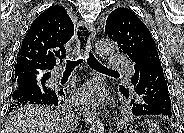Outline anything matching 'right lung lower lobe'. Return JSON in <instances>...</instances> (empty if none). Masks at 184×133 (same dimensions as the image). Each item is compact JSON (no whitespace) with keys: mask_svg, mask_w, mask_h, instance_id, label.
I'll list each match as a JSON object with an SVG mask.
<instances>
[{"mask_svg":"<svg viewBox=\"0 0 184 133\" xmlns=\"http://www.w3.org/2000/svg\"><path fill=\"white\" fill-rule=\"evenodd\" d=\"M18 85L14 88L11 96L12 103H25L28 105H50L63 104L65 94L62 89H50L46 81L51 77L49 71L30 70L16 74Z\"/></svg>","mask_w":184,"mask_h":133,"instance_id":"1","label":"right lung lower lobe"}]
</instances>
